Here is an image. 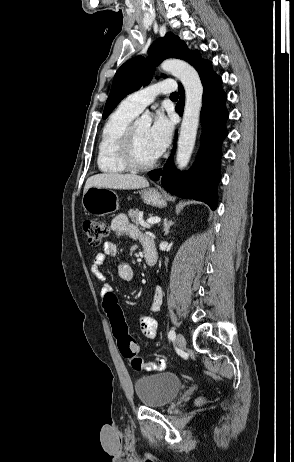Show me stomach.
I'll return each instance as SVG.
<instances>
[{"label":"stomach","instance_id":"1","mask_svg":"<svg viewBox=\"0 0 294 462\" xmlns=\"http://www.w3.org/2000/svg\"><path fill=\"white\" fill-rule=\"evenodd\" d=\"M141 196L144 202L155 207L163 208L167 204L163 196L154 188L143 190ZM82 205L88 214L99 217L114 213L119 209L116 193L104 187L87 189L83 194Z\"/></svg>","mask_w":294,"mask_h":462}]
</instances>
